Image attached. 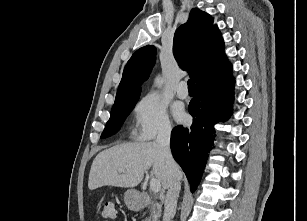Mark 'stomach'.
I'll return each instance as SVG.
<instances>
[{"mask_svg": "<svg viewBox=\"0 0 307 221\" xmlns=\"http://www.w3.org/2000/svg\"><path fill=\"white\" fill-rule=\"evenodd\" d=\"M124 201L129 208H136L140 205L137 191L129 189L124 193Z\"/></svg>", "mask_w": 307, "mask_h": 221, "instance_id": "1", "label": "stomach"}]
</instances>
